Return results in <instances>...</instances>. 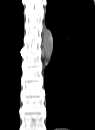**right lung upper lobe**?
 I'll use <instances>...</instances> for the list:
<instances>
[{
  "label": "right lung upper lobe",
  "instance_id": "cb5924a9",
  "mask_svg": "<svg viewBox=\"0 0 95 130\" xmlns=\"http://www.w3.org/2000/svg\"><path fill=\"white\" fill-rule=\"evenodd\" d=\"M22 0L0 1V37L14 33L23 27Z\"/></svg>",
  "mask_w": 95,
  "mask_h": 130
}]
</instances>
